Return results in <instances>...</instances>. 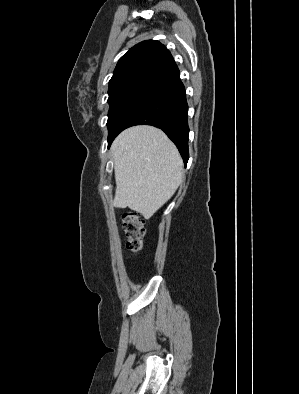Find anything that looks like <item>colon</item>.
Wrapping results in <instances>:
<instances>
[{"label":"colon","instance_id":"obj_1","mask_svg":"<svg viewBox=\"0 0 299 394\" xmlns=\"http://www.w3.org/2000/svg\"><path fill=\"white\" fill-rule=\"evenodd\" d=\"M123 224L128 238L127 247L131 252L137 253L142 249L145 234L143 221L133 212L123 215Z\"/></svg>","mask_w":299,"mask_h":394}]
</instances>
